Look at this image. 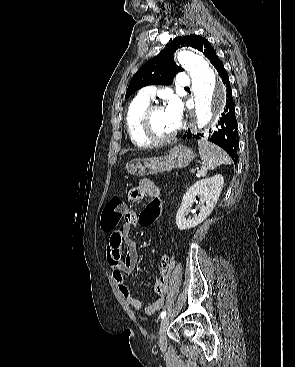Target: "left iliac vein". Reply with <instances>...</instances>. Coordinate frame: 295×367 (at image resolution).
<instances>
[{
  "label": "left iliac vein",
  "instance_id": "4c4485c4",
  "mask_svg": "<svg viewBox=\"0 0 295 367\" xmlns=\"http://www.w3.org/2000/svg\"><path fill=\"white\" fill-rule=\"evenodd\" d=\"M170 320H171V315L165 316L160 324V329H159V346L161 348V350H165L166 345H167V341H166V331L167 328L170 324Z\"/></svg>",
  "mask_w": 295,
  "mask_h": 367
}]
</instances>
